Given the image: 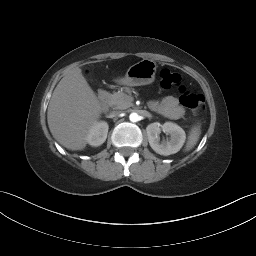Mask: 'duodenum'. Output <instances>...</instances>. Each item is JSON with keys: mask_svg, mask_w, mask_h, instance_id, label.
Listing matches in <instances>:
<instances>
[{"mask_svg": "<svg viewBox=\"0 0 256 256\" xmlns=\"http://www.w3.org/2000/svg\"><path fill=\"white\" fill-rule=\"evenodd\" d=\"M108 100H109V95H108L107 91L100 90V92L98 93V96H97L98 105L101 108H105L108 104Z\"/></svg>", "mask_w": 256, "mask_h": 256, "instance_id": "duodenum-1", "label": "duodenum"}]
</instances>
